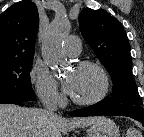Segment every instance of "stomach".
Instances as JSON below:
<instances>
[{
  "instance_id": "obj_1",
  "label": "stomach",
  "mask_w": 144,
  "mask_h": 137,
  "mask_svg": "<svg viewBox=\"0 0 144 137\" xmlns=\"http://www.w3.org/2000/svg\"><path fill=\"white\" fill-rule=\"evenodd\" d=\"M86 132L88 137H120L119 128L106 117H100Z\"/></svg>"
}]
</instances>
